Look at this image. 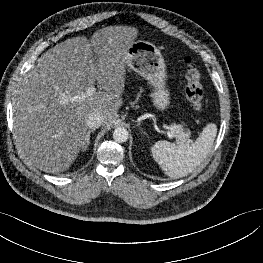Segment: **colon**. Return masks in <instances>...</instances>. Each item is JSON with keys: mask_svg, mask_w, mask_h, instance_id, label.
Wrapping results in <instances>:
<instances>
[{"mask_svg": "<svg viewBox=\"0 0 263 263\" xmlns=\"http://www.w3.org/2000/svg\"><path fill=\"white\" fill-rule=\"evenodd\" d=\"M185 65V96L190 105L197 111L203 106L204 90L201 84V74L190 56L184 58Z\"/></svg>", "mask_w": 263, "mask_h": 263, "instance_id": "colon-1", "label": "colon"}]
</instances>
